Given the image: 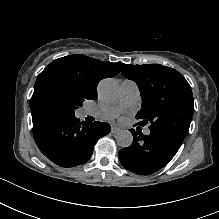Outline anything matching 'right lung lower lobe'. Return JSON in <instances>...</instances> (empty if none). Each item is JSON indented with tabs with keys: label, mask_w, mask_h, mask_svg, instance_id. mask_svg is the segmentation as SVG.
<instances>
[{
	"label": "right lung lower lobe",
	"mask_w": 219,
	"mask_h": 219,
	"mask_svg": "<svg viewBox=\"0 0 219 219\" xmlns=\"http://www.w3.org/2000/svg\"><path fill=\"white\" fill-rule=\"evenodd\" d=\"M31 114L37 146L61 167L87 162L97 140L110 132L108 123L83 124L75 115L67 116L51 109H31Z\"/></svg>",
	"instance_id": "obj_1"
}]
</instances>
